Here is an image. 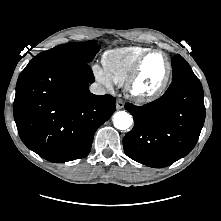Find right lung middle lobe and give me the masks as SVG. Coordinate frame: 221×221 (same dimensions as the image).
<instances>
[{
  "label": "right lung middle lobe",
  "mask_w": 221,
  "mask_h": 221,
  "mask_svg": "<svg viewBox=\"0 0 221 221\" xmlns=\"http://www.w3.org/2000/svg\"><path fill=\"white\" fill-rule=\"evenodd\" d=\"M99 49L100 47L95 40L83 43H67L42 52L32 60L52 59L89 63Z\"/></svg>",
  "instance_id": "right-lung-middle-lobe-1"
}]
</instances>
